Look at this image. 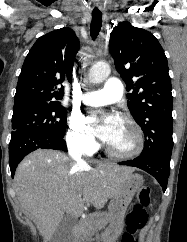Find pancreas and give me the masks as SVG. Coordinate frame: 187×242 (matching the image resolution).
<instances>
[{
  "label": "pancreas",
  "instance_id": "cf45deb5",
  "mask_svg": "<svg viewBox=\"0 0 187 242\" xmlns=\"http://www.w3.org/2000/svg\"><path fill=\"white\" fill-rule=\"evenodd\" d=\"M107 224L108 218L105 212L88 215L79 222L75 242H92V237L97 233L98 229Z\"/></svg>",
  "mask_w": 187,
  "mask_h": 242
}]
</instances>
